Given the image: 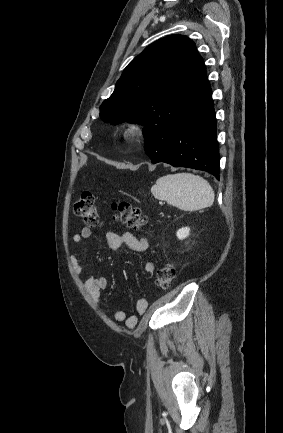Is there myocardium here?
<instances>
[{"label": "myocardium", "mask_w": 283, "mask_h": 433, "mask_svg": "<svg viewBox=\"0 0 283 433\" xmlns=\"http://www.w3.org/2000/svg\"><path fill=\"white\" fill-rule=\"evenodd\" d=\"M144 127L138 122H129L122 129L121 136L127 141L136 140L142 136Z\"/></svg>", "instance_id": "obj_1"}]
</instances>
